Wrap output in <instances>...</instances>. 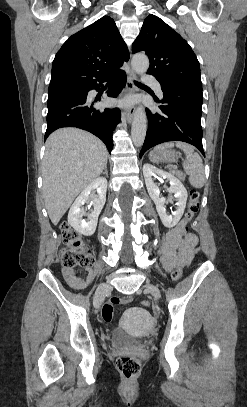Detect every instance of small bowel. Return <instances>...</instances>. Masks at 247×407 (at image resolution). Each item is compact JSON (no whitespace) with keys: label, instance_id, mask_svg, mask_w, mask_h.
I'll list each match as a JSON object with an SVG mask.
<instances>
[{"label":"small bowel","instance_id":"1","mask_svg":"<svg viewBox=\"0 0 247 407\" xmlns=\"http://www.w3.org/2000/svg\"><path fill=\"white\" fill-rule=\"evenodd\" d=\"M184 219L176 226L168 230L163 237L160 248V257L163 267L170 272L177 265L187 266L193 258V249L197 244L194 234H185ZM87 276L77 278L73 269L63 268V277L67 284L74 289L80 290L87 287L94 277L92 269L87 268Z\"/></svg>","mask_w":247,"mask_h":407}]
</instances>
